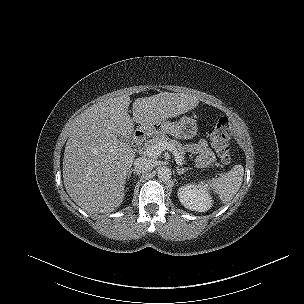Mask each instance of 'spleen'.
<instances>
[{"label": "spleen", "instance_id": "spleen-1", "mask_svg": "<svg viewBox=\"0 0 304 304\" xmlns=\"http://www.w3.org/2000/svg\"><path fill=\"white\" fill-rule=\"evenodd\" d=\"M244 176L242 165H235L229 172L220 177L207 180V185L218 194L223 202H229L239 191Z\"/></svg>", "mask_w": 304, "mask_h": 304}]
</instances>
